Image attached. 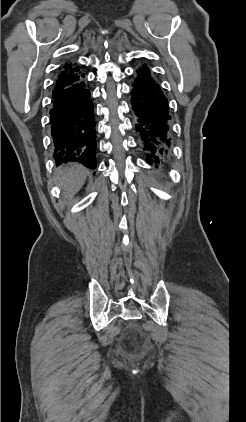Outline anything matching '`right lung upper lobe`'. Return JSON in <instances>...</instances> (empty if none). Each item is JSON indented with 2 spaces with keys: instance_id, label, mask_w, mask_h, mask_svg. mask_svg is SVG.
<instances>
[{
  "instance_id": "right-lung-upper-lobe-1",
  "label": "right lung upper lobe",
  "mask_w": 246,
  "mask_h": 422,
  "mask_svg": "<svg viewBox=\"0 0 246 422\" xmlns=\"http://www.w3.org/2000/svg\"><path fill=\"white\" fill-rule=\"evenodd\" d=\"M83 74L81 73L79 66H76L70 62L65 63L62 66V70L56 81L55 88L63 87L70 83L78 80Z\"/></svg>"
}]
</instances>
